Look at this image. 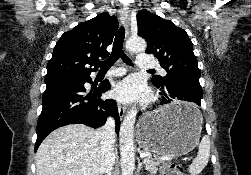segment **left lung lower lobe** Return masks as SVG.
Here are the masks:
<instances>
[{
  "mask_svg": "<svg viewBox=\"0 0 251 175\" xmlns=\"http://www.w3.org/2000/svg\"><path fill=\"white\" fill-rule=\"evenodd\" d=\"M157 88H160L162 91L160 93L162 95L161 104L170 103L172 99L190 102L187 105L174 108L162 114L159 119L165 121H190L200 117L202 110L199 106H201L203 92L199 82L183 77H175L165 84V88Z\"/></svg>",
  "mask_w": 251,
  "mask_h": 175,
  "instance_id": "0a47b994",
  "label": "left lung lower lobe"
}]
</instances>
